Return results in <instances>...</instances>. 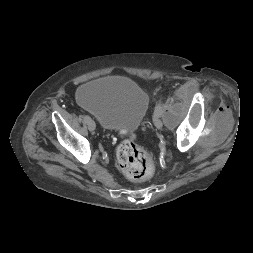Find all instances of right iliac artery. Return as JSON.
Wrapping results in <instances>:
<instances>
[{"mask_svg":"<svg viewBox=\"0 0 253 253\" xmlns=\"http://www.w3.org/2000/svg\"><path fill=\"white\" fill-rule=\"evenodd\" d=\"M84 120L87 122V121H89L90 120V117L88 116V115H84Z\"/></svg>","mask_w":253,"mask_h":253,"instance_id":"right-iliac-artery-1","label":"right iliac artery"}]
</instances>
